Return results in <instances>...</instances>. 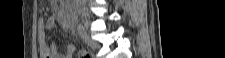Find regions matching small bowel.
<instances>
[{
	"mask_svg": "<svg viewBox=\"0 0 225 58\" xmlns=\"http://www.w3.org/2000/svg\"><path fill=\"white\" fill-rule=\"evenodd\" d=\"M45 26L47 29H53L55 19L53 17L48 18L45 22ZM41 51L43 58H72L75 47L69 43L54 42L50 46L44 45ZM61 51H64V53Z\"/></svg>",
	"mask_w": 225,
	"mask_h": 58,
	"instance_id": "c3829d8e",
	"label": "small bowel"
}]
</instances>
